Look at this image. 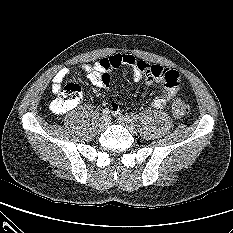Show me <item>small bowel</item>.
<instances>
[{
  "label": "small bowel",
  "instance_id": "small-bowel-1",
  "mask_svg": "<svg viewBox=\"0 0 233 233\" xmlns=\"http://www.w3.org/2000/svg\"><path fill=\"white\" fill-rule=\"evenodd\" d=\"M121 65H128L133 70L135 81L145 80L148 85L159 83L162 86V95L151 102L153 108H163L176 96L180 89V75L176 70L164 68L160 65H150L144 60H137L130 54H114L103 57L93 64H84L81 70L86 74L89 82L98 87L106 88L110 84V73ZM70 74V69H59L52 80V91L59 93L62 83ZM120 107L113 103L111 111L117 114Z\"/></svg>",
  "mask_w": 233,
  "mask_h": 233
}]
</instances>
